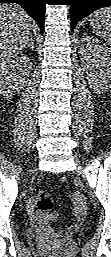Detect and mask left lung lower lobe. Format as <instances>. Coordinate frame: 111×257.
<instances>
[{"label":"left lung lower lobe","mask_w":111,"mask_h":257,"mask_svg":"<svg viewBox=\"0 0 111 257\" xmlns=\"http://www.w3.org/2000/svg\"><path fill=\"white\" fill-rule=\"evenodd\" d=\"M71 31L76 24L94 10L111 6V0H71Z\"/></svg>","instance_id":"1"}]
</instances>
